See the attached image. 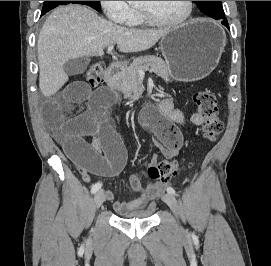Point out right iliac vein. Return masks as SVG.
Returning a JSON list of instances; mask_svg holds the SVG:
<instances>
[{
	"label": "right iliac vein",
	"mask_w": 271,
	"mask_h": 266,
	"mask_svg": "<svg viewBox=\"0 0 271 266\" xmlns=\"http://www.w3.org/2000/svg\"><path fill=\"white\" fill-rule=\"evenodd\" d=\"M105 201V197H104V191L103 190H99L95 193L94 195V204H93V208L96 210L98 209L103 202Z\"/></svg>",
	"instance_id": "right-iliac-vein-1"
}]
</instances>
